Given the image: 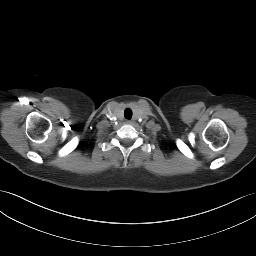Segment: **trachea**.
I'll use <instances>...</instances> for the list:
<instances>
[{
  "label": "trachea",
  "mask_w": 256,
  "mask_h": 256,
  "mask_svg": "<svg viewBox=\"0 0 256 256\" xmlns=\"http://www.w3.org/2000/svg\"><path fill=\"white\" fill-rule=\"evenodd\" d=\"M124 116H125V118H127V119H131V117H132V110L129 109V108L125 109V111H124Z\"/></svg>",
  "instance_id": "obj_1"
}]
</instances>
